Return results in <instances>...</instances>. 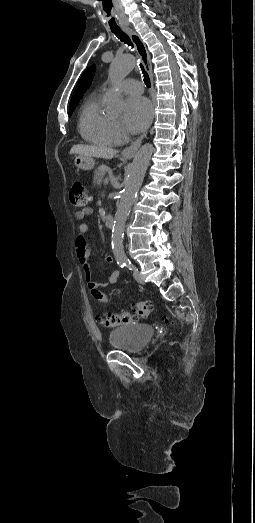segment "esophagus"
<instances>
[{"instance_id": "esophagus-1", "label": "esophagus", "mask_w": 255, "mask_h": 523, "mask_svg": "<svg viewBox=\"0 0 255 523\" xmlns=\"http://www.w3.org/2000/svg\"><path fill=\"white\" fill-rule=\"evenodd\" d=\"M123 30H124V32H126L129 35L130 39L135 44L136 50L140 56L141 63L148 72V75L150 77L151 87L153 89L154 79H153V73H152V64H151L150 55L148 53L146 45L141 40L138 33L134 32V30H132L131 28H123ZM151 112H152V119H151V122H152L153 118H154V114H155L154 105L152 106ZM146 135H147V131L145 133H143L139 138H137V140H135V142L131 143V145H129V147L124 148V150H122V154L126 157H133L135 155V153L137 152L138 148L140 147L143 139L146 137Z\"/></svg>"}]
</instances>
